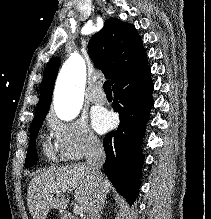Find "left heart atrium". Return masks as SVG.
Here are the masks:
<instances>
[{
  "label": "left heart atrium",
  "instance_id": "1",
  "mask_svg": "<svg viewBox=\"0 0 211 219\" xmlns=\"http://www.w3.org/2000/svg\"><path fill=\"white\" fill-rule=\"evenodd\" d=\"M113 123L114 119L112 115L105 110H97L93 114L92 124L94 129L99 133H103L109 128H111Z\"/></svg>",
  "mask_w": 211,
  "mask_h": 219
}]
</instances>
